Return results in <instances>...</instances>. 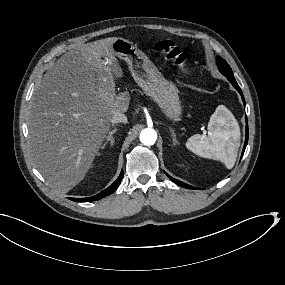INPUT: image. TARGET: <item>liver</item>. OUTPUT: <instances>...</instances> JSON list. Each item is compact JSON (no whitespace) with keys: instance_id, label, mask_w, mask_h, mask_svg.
Listing matches in <instances>:
<instances>
[{"instance_id":"6515ba94","label":"liver","mask_w":285,"mask_h":285,"mask_svg":"<svg viewBox=\"0 0 285 285\" xmlns=\"http://www.w3.org/2000/svg\"><path fill=\"white\" fill-rule=\"evenodd\" d=\"M114 40L76 46L36 83L27 120L29 153L47 183L62 194L83 180L113 114L128 110L129 92L115 93L114 77L123 73L111 48Z\"/></svg>"}]
</instances>
